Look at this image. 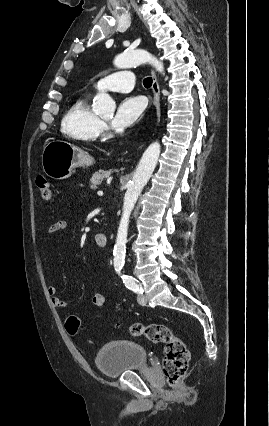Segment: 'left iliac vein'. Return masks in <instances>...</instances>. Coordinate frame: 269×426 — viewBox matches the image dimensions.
I'll use <instances>...</instances> for the list:
<instances>
[{"label":"left iliac vein","mask_w":269,"mask_h":426,"mask_svg":"<svg viewBox=\"0 0 269 426\" xmlns=\"http://www.w3.org/2000/svg\"><path fill=\"white\" fill-rule=\"evenodd\" d=\"M137 299L141 305H145L147 303V298L145 295H139Z\"/></svg>","instance_id":"1"}]
</instances>
